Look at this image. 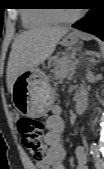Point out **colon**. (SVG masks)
<instances>
[{"label":"colon","instance_id":"1","mask_svg":"<svg viewBox=\"0 0 104 169\" xmlns=\"http://www.w3.org/2000/svg\"><path fill=\"white\" fill-rule=\"evenodd\" d=\"M17 128L30 155L36 160H43L46 154V146L43 143L44 124L37 119L21 118Z\"/></svg>","mask_w":104,"mask_h":169}]
</instances>
